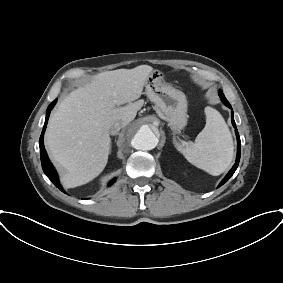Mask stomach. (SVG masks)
Segmentation results:
<instances>
[{
    "label": "stomach",
    "instance_id": "obj_1",
    "mask_svg": "<svg viewBox=\"0 0 283 283\" xmlns=\"http://www.w3.org/2000/svg\"><path fill=\"white\" fill-rule=\"evenodd\" d=\"M147 97L165 115L170 128L179 132L187 124V99L185 94L166 83L163 74L154 70L145 83Z\"/></svg>",
    "mask_w": 283,
    "mask_h": 283
}]
</instances>
